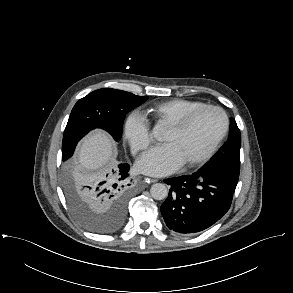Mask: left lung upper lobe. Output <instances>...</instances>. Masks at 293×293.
I'll return each instance as SVG.
<instances>
[{"instance_id":"5c2ea615","label":"left lung upper lobe","mask_w":293,"mask_h":293,"mask_svg":"<svg viewBox=\"0 0 293 293\" xmlns=\"http://www.w3.org/2000/svg\"><path fill=\"white\" fill-rule=\"evenodd\" d=\"M240 130L230 118V132L227 142L199 171H215L238 180L240 171Z\"/></svg>"}]
</instances>
